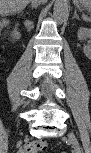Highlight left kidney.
Returning <instances> with one entry per match:
<instances>
[{"mask_svg": "<svg viewBox=\"0 0 91 153\" xmlns=\"http://www.w3.org/2000/svg\"><path fill=\"white\" fill-rule=\"evenodd\" d=\"M88 33H89V30L88 29H86V28H80L78 30V38L80 40H83L85 38L86 34H88ZM84 53H85V55L88 58L91 57V48L89 46H85L84 47Z\"/></svg>", "mask_w": 91, "mask_h": 153, "instance_id": "obj_1", "label": "left kidney"}]
</instances>
